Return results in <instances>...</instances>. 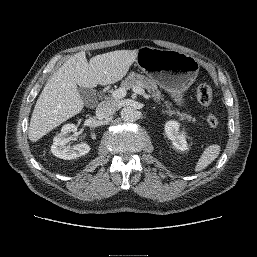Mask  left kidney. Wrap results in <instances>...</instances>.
Wrapping results in <instances>:
<instances>
[{
  "instance_id": "obj_1",
  "label": "left kidney",
  "mask_w": 257,
  "mask_h": 257,
  "mask_svg": "<svg viewBox=\"0 0 257 257\" xmlns=\"http://www.w3.org/2000/svg\"><path fill=\"white\" fill-rule=\"evenodd\" d=\"M180 124L177 121L170 120L165 124V133L172 141L173 146L181 151L188 149L184 132L179 130Z\"/></svg>"
}]
</instances>
